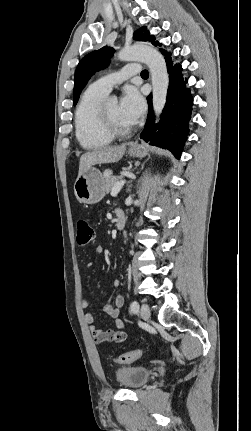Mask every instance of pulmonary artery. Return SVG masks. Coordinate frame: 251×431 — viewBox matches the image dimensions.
Returning <instances> with one entry per match:
<instances>
[{
	"label": "pulmonary artery",
	"mask_w": 251,
	"mask_h": 431,
	"mask_svg": "<svg viewBox=\"0 0 251 431\" xmlns=\"http://www.w3.org/2000/svg\"><path fill=\"white\" fill-rule=\"evenodd\" d=\"M141 67L138 63H130L124 66L120 71L105 75L98 80H96L92 86L106 94H108L112 88L124 81L127 78H130L134 75L140 73Z\"/></svg>",
	"instance_id": "e3ab8cb5"
}]
</instances>
